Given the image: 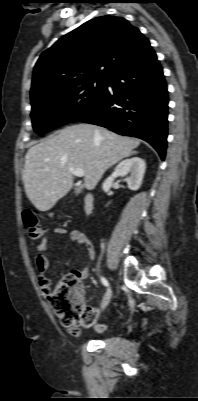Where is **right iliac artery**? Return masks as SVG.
<instances>
[{"label": "right iliac artery", "mask_w": 198, "mask_h": 401, "mask_svg": "<svg viewBox=\"0 0 198 401\" xmlns=\"http://www.w3.org/2000/svg\"><path fill=\"white\" fill-rule=\"evenodd\" d=\"M100 279H101V282H102V284L103 285H105V286H109V283H108V281L104 278V277H100ZM105 301V297H104V300H103V302Z\"/></svg>", "instance_id": "1"}]
</instances>
